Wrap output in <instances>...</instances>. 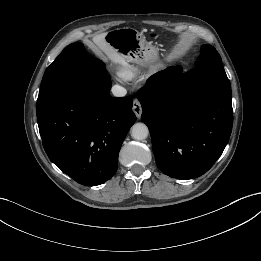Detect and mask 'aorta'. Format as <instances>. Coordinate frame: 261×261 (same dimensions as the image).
<instances>
[{
  "label": "aorta",
  "instance_id": "762f6f07",
  "mask_svg": "<svg viewBox=\"0 0 261 261\" xmlns=\"http://www.w3.org/2000/svg\"><path fill=\"white\" fill-rule=\"evenodd\" d=\"M148 134V127L144 123H135L131 128V136L135 140H145Z\"/></svg>",
  "mask_w": 261,
  "mask_h": 261
}]
</instances>
